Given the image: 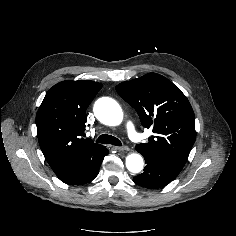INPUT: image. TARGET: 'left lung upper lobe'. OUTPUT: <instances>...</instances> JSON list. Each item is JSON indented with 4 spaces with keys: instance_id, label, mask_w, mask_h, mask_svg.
<instances>
[{
    "instance_id": "1",
    "label": "left lung upper lobe",
    "mask_w": 236,
    "mask_h": 236,
    "mask_svg": "<svg viewBox=\"0 0 236 236\" xmlns=\"http://www.w3.org/2000/svg\"><path fill=\"white\" fill-rule=\"evenodd\" d=\"M116 91L137 111L142 125L154 133L148 143L137 145L136 150L152 154L181 171L196 139L195 116L186 96L156 73L122 82Z\"/></svg>"
}]
</instances>
